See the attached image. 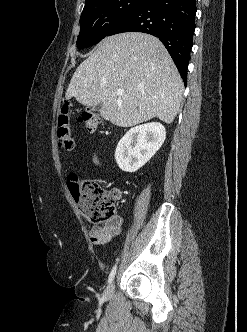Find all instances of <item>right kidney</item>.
<instances>
[{
	"instance_id": "right-kidney-1",
	"label": "right kidney",
	"mask_w": 247,
	"mask_h": 332,
	"mask_svg": "<svg viewBox=\"0 0 247 332\" xmlns=\"http://www.w3.org/2000/svg\"><path fill=\"white\" fill-rule=\"evenodd\" d=\"M166 138L165 127L158 122L131 128L118 142L115 160L125 172H136L159 150Z\"/></svg>"
}]
</instances>
